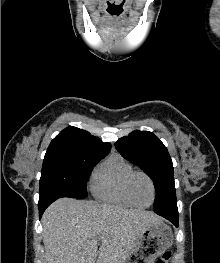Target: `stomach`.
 Segmentation results:
<instances>
[{
  "mask_svg": "<svg viewBox=\"0 0 220 263\" xmlns=\"http://www.w3.org/2000/svg\"><path fill=\"white\" fill-rule=\"evenodd\" d=\"M173 243L171 228L163 221L148 227L122 263H155Z\"/></svg>",
  "mask_w": 220,
  "mask_h": 263,
  "instance_id": "1",
  "label": "stomach"
}]
</instances>
